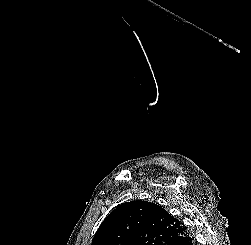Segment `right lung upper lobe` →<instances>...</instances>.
<instances>
[{"instance_id": "1", "label": "right lung upper lobe", "mask_w": 251, "mask_h": 245, "mask_svg": "<svg viewBox=\"0 0 251 245\" xmlns=\"http://www.w3.org/2000/svg\"><path fill=\"white\" fill-rule=\"evenodd\" d=\"M186 234L183 224L161 206L136 200L114 209L91 245H172Z\"/></svg>"}]
</instances>
